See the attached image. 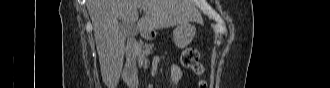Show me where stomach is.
<instances>
[{"mask_svg": "<svg viewBox=\"0 0 330 88\" xmlns=\"http://www.w3.org/2000/svg\"><path fill=\"white\" fill-rule=\"evenodd\" d=\"M195 27L188 23L178 25L173 31V40L175 44L181 48H186L195 36ZM147 38H151L152 36L148 34Z\"/></svg>", "mask_w": 330, "mask_h": 88, "instance_id": "1", "label": "stomach"}]
</instances>
